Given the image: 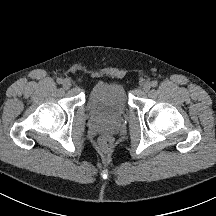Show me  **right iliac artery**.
<instances>
[{
    "label": "right iliac artery",
    "instance_id": "1",
    "mask_svg": "<svg viewBox=\"0 0 216 216\" xmlns=\"http://www.w3.org/2000/svg\"><path fill=\"white\" fill-rule=\"evenodd\" d=\"M57 83H58V84H62V83H63L62 78H58V79H57Z\"/></svg>",
    "mask_w": 216,
    "mask_h": 216
}]
</instances>
